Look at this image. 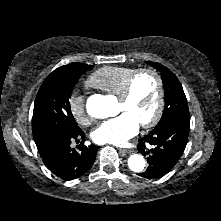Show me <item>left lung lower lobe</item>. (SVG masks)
Listing matches in <instances>:
<instances>
[{"mask_svg": "<svg viewBox=\"0 0 221 221\" xmlns=\"http://www.w3.org/2000/svg\"><path fill=\"white\" fill-rule=\"evenodd\" d=\"M189 127L190 117L177 118L139 139L137 149L147 157L149 166L138 175L156 179L171 171L185 150Z\"/></svg>", "mask_w": 221, "mask_h": 221, "instance_id": "1", "label": "left lung lower lobe"}]
</instances>
